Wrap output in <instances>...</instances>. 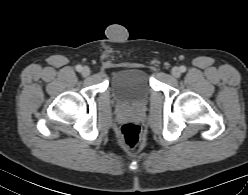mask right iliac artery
Here are the masks:
<instances>
[{"label": "right iliac artery", "mask_w": 248, "mask_h": 195, "mask_svg": "<svg viewBox=\"0 0 248 195\" xmlns=\"http://www.w3.org/2000/svg\"><path fill=\"white\" fill-rule=\"evenodd\" d=\"M76 70H77L78 72L82 71V66H81V65H77V66H76Z\"/></svg>", "instance_id": "82829eb1"}]
</instances>
